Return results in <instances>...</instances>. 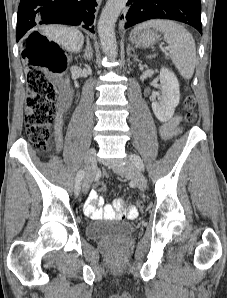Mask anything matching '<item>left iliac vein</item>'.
Segmentation results:
<instances>
[{"label":"left iliac vein","instance_id":"obj_1","mask_svg":"<svg viewBox=\"0 0 227 298\" xmlns=\"http://www.w3.org/2000/svg\"><path fill=\"white\" fill-rule=\"evenodd\" d=\"M114 171L122 176L131 177L141 191L146 190L147 180L134 163L127 161L125 164L115 167Z\"/></svg>","mask_w":227,"mask_h":298}]
</instances>
